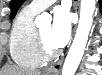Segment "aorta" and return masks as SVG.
Returning a JSON list of instances; mask_svg holds the SVG:
<instances>
[{
    "instance_id": "aorta-1",
    "label": "aorta",
    "mask_w": 102,
    "mask_h": 75,
    "mask_svg": "<svg viewBox=\"0 0 102 75\" xmlns=\"http://www.w3.org/2000/svg\"><path fill=\"white\" fill-rule=\"evenodd\" d=\"M96 0H81L80 18L73 43L69 49L62 68V75H75L79 63L83 57L93 23V14ZM51 15L43 13L35 19L37 25L50 23Z\"/></svg>"
}]
</instances>
